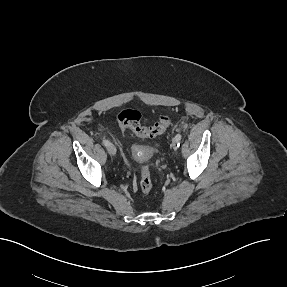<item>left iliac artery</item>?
Returning <instances> with one entry per match:
<instances>
[{"instance_id":"obj_1","label":"left iliac artery","mask_w":287,"mask_h":287,"mask_svg":"<svg viewBox=\"0 0 287 287\" xmlns=\"http://www.w3.org/2000/svg\"><path fill=\"white\" fill-rule=\"evenodd\" d=\"M176 140H177V146L179 145V142L181 141L182 135L181 134H177L175 136Z\"/></svg>"}]
</instances>
